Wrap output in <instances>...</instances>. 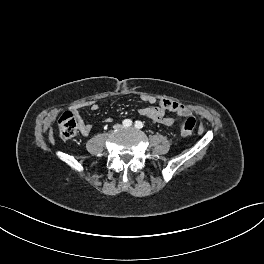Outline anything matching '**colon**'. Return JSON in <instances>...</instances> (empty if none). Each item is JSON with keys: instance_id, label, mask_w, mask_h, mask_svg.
<instances>
[{"instance_id": "colon-1", "label": "colon", "mask_w": 264, "mask_h": 264, "mask_svg": "<svg viewBox=\"0 0 264 264\" xmlns=\"http://www.w3.org/2000/svg\"><path fill=\"white\" fill-rule=\"evenodd\" d=\"M196 120L193 117L183 119L179 124L181 136H190L195 128ZM78 120L77 116L70 111L64 112L58 120V129L60 137L64 140L73 138L77 133Z\"/></svg>"}]
</instances>
